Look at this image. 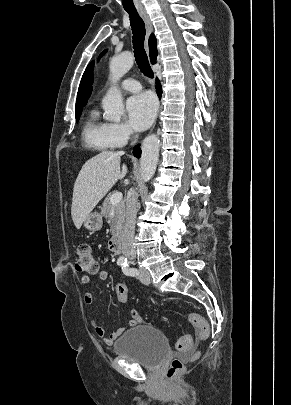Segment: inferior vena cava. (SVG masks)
I'll return each instance as SVG.
<instances>
[{
  "label": "inferior vena cava",
  "mask_w": 291,
  "mask_h": 405,
  "mask_svg": "<svg viewBox=\"0 0 291 405\" xmlns=\"http://www.w3.org/2000/svg\"><path fill=\"white\" fill-rule=\"evenodd\" d=\"M138 206V192L132 190L126 199V221L122 233V253L128 259H134L136 251L133 245L135 220Z\"/></svg>",
  "instance_id": "obj_1"
}]
</instances>
